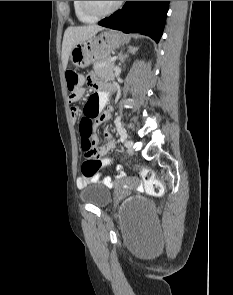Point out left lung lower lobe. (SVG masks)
<instances>
[{"mask_svg": "<svg viewBox=\"0 0 233 295\" xmlns=\"http://www.w3.org/2000/svg\"><path fill=\"white\" fill-rule=\"evenodd\" d=\"M169 1H126L122 9L98 22L124 33H141L159 42Z\"/></svg>", "mask_w": 233, "mask_h": 295, "instance_id": "left-lung-lower-lobe-1", "label": "left lung lower lobe"}]
</instances>
